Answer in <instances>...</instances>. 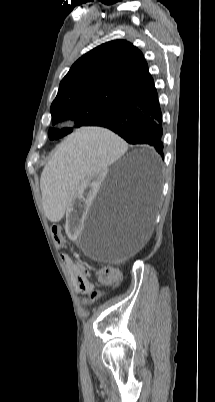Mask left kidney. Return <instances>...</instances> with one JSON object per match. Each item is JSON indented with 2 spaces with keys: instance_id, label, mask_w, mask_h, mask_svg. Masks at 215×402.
<instances>
[{
  "instance_id": "5707ae66",
  "label": "left kidney",
  "mask_w": 215,
  "mask_h": 402,
  "mask_svg": "<svg viewBox=\"0 0 215 402\" xmlns=\"http://www.w3.org/2000/svg\"><path fill=\"white\" fill-rule=\"evenodd\" d=\"M105 176L103 169H98L93 175H88L83 179V184L76 186V191L70 193V203L67 207L69 220L66 221V234L71 240L78 238V230L82 227L81 219L83 213L87 211L93 203L95 193L100 192L102 178Z\"/></svg>"
}]
</instances>
